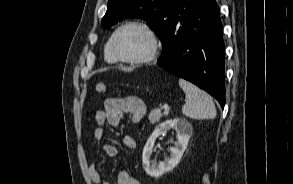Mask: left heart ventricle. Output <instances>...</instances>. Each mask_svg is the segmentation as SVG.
<instances>
[{
    "label": "left heart ventricle",
    "instance_id": "obj_1",
    "mask_svg": "<svg viewBox=\"0 0 293 184\" xmlns=\"http://www.w3.org/2000/svg\"><path fill=\"white\" fill-rule=\"evenodd\" d=\"M150 38L146 32L137 27L122 30L115 41V48L119 55L125 58H138L150 49Z\"/></svg>",
    "mask_w": 293,
    "mask_h": 184
}]
</instances>
